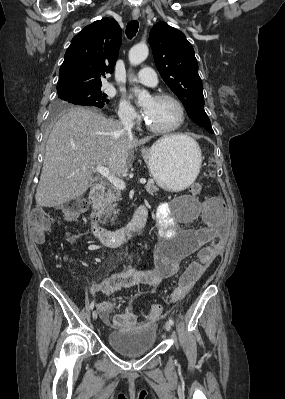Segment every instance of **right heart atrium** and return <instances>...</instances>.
I'll return each mask as SVG.
<instances>
[{"label": "right heart atrium", "instance_id": "obj_1", "mask_svg": "<svg viewBox=\"0 0 285 399\" xmlns=\"http://www.w3.org/2000/svg\"><path fill=\"white\" fill-rule=\"evenodd\" d=\"M118 115L120 119L124 121L135 122L138 120V113L136 112L134 107L126 100H122L120 102Z\"/></svg>", "mask_w": 285, "mask_h": 399}]
</instances>
